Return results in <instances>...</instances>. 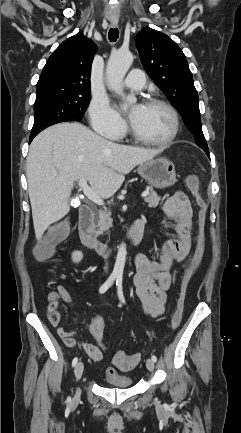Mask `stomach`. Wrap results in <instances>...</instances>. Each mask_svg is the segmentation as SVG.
<instances>
[{"label":"stomach","instance_id":"obj_1","mask_svg":"<svg viewBox=\"0 0 241 433\" xmlns=\"http://www.w3.org/2000/svg\"><path fill=\"white\" fill-rule=\"evenodd\" d=\"M139 175L150 186L166 188L177 182L174 163L165 157L151 159L139 165Z\"/></svg>","mask_w":241,"mask_h":433}]
</instances>
